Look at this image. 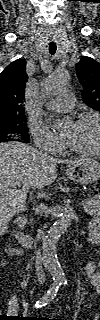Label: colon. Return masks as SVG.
I'll list each match as a JSON object with an SVG mask.
<instances>
[{
	"label": "colon",
	"instance_id": "1",
	"mask_svg": "<svg viewBox=\"0 0 100 320\" xmlns=\"http://www.w3.org/2000/svg\"><path fill=\"white\" fill-rule=\"evenodd\" d=\"M89 241L94 246H98L100 244V234L98 226L95 225L92 227Z\"/></svg>",
	"mask_w": 100,
	"mask_h": 320
}]
</instances>
